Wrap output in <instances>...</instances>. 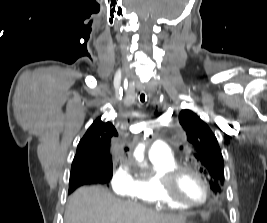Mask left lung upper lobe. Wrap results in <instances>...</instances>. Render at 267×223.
<instances>
[{
  "mask_svg": "<svg viewBox=\"0 0 267 223\" xmlns=\"http://www.w3.org/2000/svg\"><path fill=\"white\" fill-rule=\"evenodd\" d=\"M179 122L183 127L192 153L200 163V171L215 192H220L224 181V163L218 141L208 125L191 110H182Z\"/></svg>",
  "mask_w": 267,
  "mask_h": 223,
  "instance_id": "obj_1",
  "label": "left lung upper lobe"
}]
</instances>
